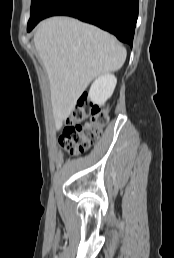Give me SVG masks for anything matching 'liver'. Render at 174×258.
<instances>
[{"mask_svg": "<svg viewBox=\"0 0 174 258\" xmlns=\"http://www.w3.org/2000/svg\"><path fill=\"white\" fill-rule=\"evenodd\" d=\"M34 43L48 74L57 126L74 110L89 83L119 70L127 54L109 33L69 17L42 21Z\"/></svg>", "mask_w": 174, "mask_h": 258, "instance_id": "1", "label": "liver"}]
</instances>
